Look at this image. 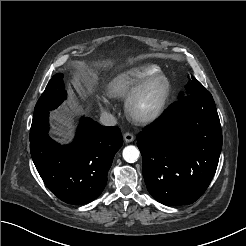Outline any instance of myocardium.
<instances>
[{"mask_svg": "<svg viewBox=\"0 0 246 246\" xmlns=\"http://www.w3.org/2000/svg\"><path fill=\"white\" fill-rule=\"evenodd\" d=\"M162 81L164 90L154 107L143 110L140 107L141 101L152 85ZM171 93V83L164 74L153 75L140 83L128 95L126 100V111L128 116L139 124H148L155 121L163 113Z\"/></svg>", "mask_w": 246, "mask_h": 246, "instance_id": "obj_1", "label": "myocardium"}]
</instances>
